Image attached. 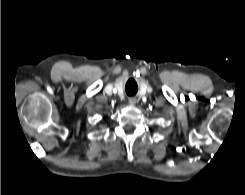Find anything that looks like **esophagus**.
I'll list each match as a JSON object with an SVG mask.
<instances>
[{
	"mask_svg": "<svg viewBox=\"0 0 245 195\" xmlns=\"http://www.w3.org/2000/svg\"><path fill=\"white\" fill-rule=\"evenodd\" d=\"M128 103L130 105H135L136 104V98L135 97H129L128 98Z\"/></svg>",
	"mask_w": 245,
	"mask_h": 195,
	"instance_id": "34e87169",
	"label": "esophagus"
}]
</instances>
